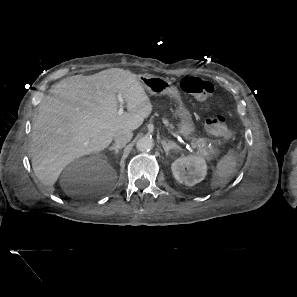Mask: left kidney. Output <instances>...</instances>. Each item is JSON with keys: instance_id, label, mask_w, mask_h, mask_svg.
<instances>
[{"instance_id": "1", "label": "left kidney", "mask_w": 297, "mask_h": 297, "mask_svg": "<svg viewBox=\"0 0 297 297\" xmlns=\"http://www.w3.org/2000/svg\"><path fill=\"white\" fill-rule=\"evenodd\" d=\"M171 170L179 183L194 186L204 180L207 174V164L204 158L190 155L176 159L172 163Z\"/></svg>"}]
</instances>
